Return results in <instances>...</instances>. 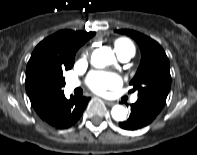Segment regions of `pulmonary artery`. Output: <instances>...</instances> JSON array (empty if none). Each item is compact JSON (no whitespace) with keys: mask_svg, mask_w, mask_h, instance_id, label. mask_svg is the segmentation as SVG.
I'll list each match as a JSON object with an SVG mask.
<instances>
[{"mask_svg":"<svg viewBox=\"0 0 197 155\" xmlns=\"http://www.w3.org/2000/svg\"><path fill=\"white\" fill-rule=\"evenodd\" d=\"M119 56V59L122 61V62H127L131 59V57L133 56V53L131 52H125V53H122ZM80 85V83L76 80H70L67 82V89L69 91H72L73 89H75L76 87H78ZM137 100V96H134L131 101L132 102H136Z\"/></svg>","mask_w":197,"mask_h":155,"instance_id":"obj_1","label":"pulmonary artery"}]
</instances>
